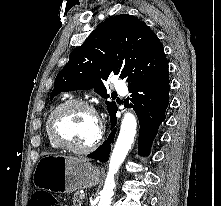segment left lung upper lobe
<instances>
[{
  "mask_svg": "<svg viewBox=\"0 0 221 206\" xmlns=\"http://www.w3.org/2000/svg\"><path fill=\"white\" fill-rule=\"evenodd\" d=\"M167 68L157 35L137 17L117 15L101 23L70 53L68 63L56 76L50 99L62 91L92 88L108 98L103 81L111 73L126 79L131 87ZM106 105L111 117L117 106L114 102Z\"/></svg>",
  "mask_w": 221,
  "mask_h": 206,
  "instance_id": "obj_1",
  "label": "left lung upper lobe"
}]
</instances>
